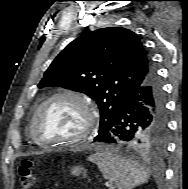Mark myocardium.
Instances as JSON below:
<instances>
[{"instance_id":"obj_1","label":"myocardium","mask_w":188,"mask_h":189,"mask_svg":"<svg viewBox=\"0 0 188 189\" xmlns=\"http://www.w3.org/2000/svg\"><path fill=\"white\" fill-rule=\"evenodd\" d=\"M62 98L73 99L77 101L83 107L86 113V117H87L85 126L82 129V131L73 138L57 140V141H48V142L43 141L39 138L38 132H37L39 119L49 104H51L55 100L62 99ZM97 125H98V113L91 99L87 97L85 94L80 93V92L63 90L48 97L37 108L31 122V136H32V139L41 146H45V147L69 146V145L80 143L86 138H88L95 131V129L97 128Z\"/></svg>"}]
</instances>
